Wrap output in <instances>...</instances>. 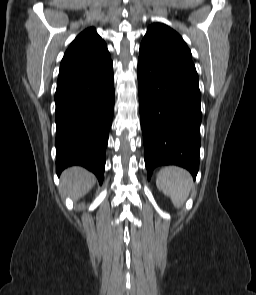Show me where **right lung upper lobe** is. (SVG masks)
<instances>
[{
  "mask_svg": "<svg viewBox=\"0 0 256 295\" xmlns=\"http://www.w3.org/2000/svg\"><path fill=\"white\" fill-rule=\"evenodd\" d=\"M110 54L102 38L91 27L81 32L64 54L59 77L79 72L110 61Z\"/></svg>",
  "mask_w": 256,
  "mask_h": 295,
  "instance_id": "1",
  "label": "right lung upper lobe"
}]
</instances>
